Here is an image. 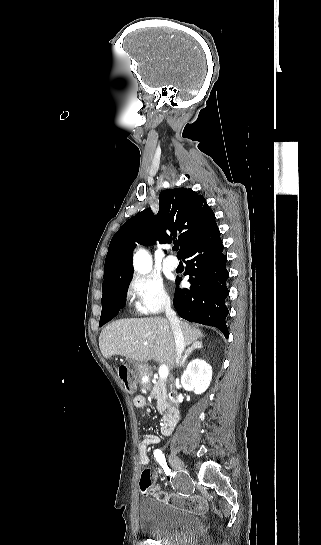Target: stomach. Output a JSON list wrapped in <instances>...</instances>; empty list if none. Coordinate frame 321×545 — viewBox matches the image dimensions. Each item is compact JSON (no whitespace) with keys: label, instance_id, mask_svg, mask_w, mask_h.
Returning <instances> with one entry per match:
<instances>
[{"label":"stomach","instance_id":"stomach-1","mask_svg":"<svg viewBox=\"0 0 321 545\" xmlns=\"http://www.w3.org/2000/svg\"><path fill=\"white\" fill-rule=\"evenodd\" d=\"M133 369H135L136 375H138L139 379L140 377H143L145 371L149 369L147 363H142V361H134L133 363Z\"/></svg>","mask_w":321,"mask_h":545}]
</instances>
